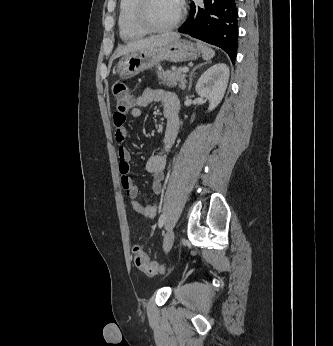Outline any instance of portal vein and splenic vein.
<instances>
[{
	"mask_svg": "<svg viewBox=\"0 0 333 346\" xmlns=\"http://www.w3.org/2000/svg\"><path fill=\"white\" fill-rule=\"evenodd\" d=\"M188 71H189V68H188V67L182 68V72L186 73V72H188Z\"/></svg>",
	"mask_w": 333,
	"mask_h": 346,
	"instance_id": "18ae733b",
	"label": "portal vein and splenic vein"
}]
</instances>
